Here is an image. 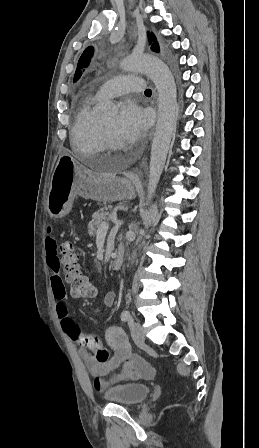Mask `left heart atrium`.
Listing matches in <instances>:
<instances>
[{
  "instance_id": "left-heart-atrium-1",
  "label": "left heart atrium",
  "mask_w": 259,
  "mask_h": 448,
  "mask_svg": "<svg viewBox=\"0 0 259 448\" xmlns=\"http://www.w3.org/2000/svg\"><path fill=\"white\" fill-rule=\"evenodd\" d=\"M116 126L125 138L138 140L148 126L147 112L134 101H126L121 107Z\"/></svg>"
}]
</instances>
